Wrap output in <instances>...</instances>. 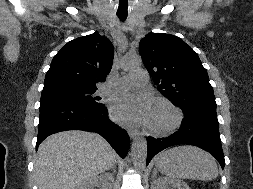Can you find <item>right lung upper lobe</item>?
Returning a JSON list of instances; mask_svg holds the SVG:
<instances>
[{
	"instance_id": "cb5924a9",
	"label": "right lung upper lobe",
	"mask_w": 253,
	"mask_h": 189,
	"mask_svg": "<svg viewBox=\"0 0 253 189\" xmlns=\"http://www.w3.org/2000/svg\"><path fill=\"white\" fill-rule=\"evenodd\" d=\"M114 48L98 33L76 38L54 56L43 90L55 88H96L110 72Z\"/></svg>"
}]
</instances>
